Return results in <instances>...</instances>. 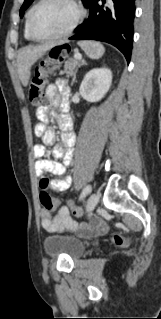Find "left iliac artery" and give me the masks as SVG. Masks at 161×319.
Listing matches in <instances>:
<instances>
[{
	"label": "left iliac artery",
	"instance_id": "44dca946",
	"mask_svg": "<svg viewBox=\"0 0 161 319\" xmlns=\"http://www.w3.org/2000/svg\"><path fill=\"white\" fill-rule=\"evenodd\" d=\"M91 191H92L91 186H90V185H87V186L83 189V191H82V193H81V195H80V197H79V201L83 200V199L86 197V195L89 194Z\"/></svg>",
	"mask_w": 161,
	"mask_h": 319
}]
</instances>
